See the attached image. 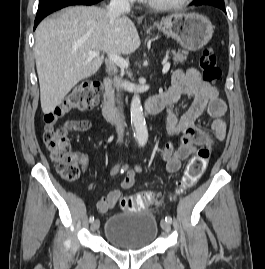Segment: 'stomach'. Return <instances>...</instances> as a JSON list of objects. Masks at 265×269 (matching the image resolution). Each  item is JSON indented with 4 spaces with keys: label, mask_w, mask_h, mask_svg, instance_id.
Segmentation results:
<instances>
[{
    "label": "stomach",
    "mask_w": 265,
    "mask_h": 269,
    "mask_svg": "<svg viewBox=\"0 0 265 269\" xmlns=\"http://www.w3.org/2000/svg\"><path fill=\"white\" fill-rule=\"evenodd\" d=\"M154 26L190 51L203 48L214 33L211 21L197 13H174Z\"/></svg>",
    "instance_id": "stomach-1"
}]
</instances>
